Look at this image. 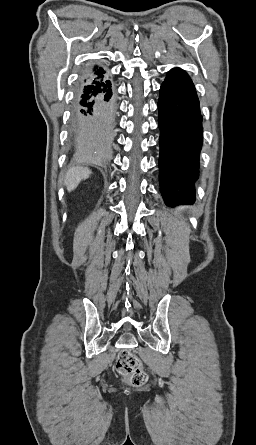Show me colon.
Instances as JSON below:
<instances>
[{
  "label": "colon",
  "mask_w": 256,
  "mask_h": 445,
  "mask_svg": "<svg viewBox=\"0 0 256 445\" xmlns=\"http://www.w3.org/2000/svg\"><path fill=\"white\" fill-rule=\"evenodd\" d=\"M115 369L117 373L133 386H142L147 381V374L143 370L140 359L130 350L120 351Z\"/></svg>",
  "instance_id": "5ec220e1"
}]
</instances>
